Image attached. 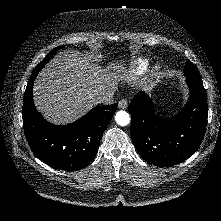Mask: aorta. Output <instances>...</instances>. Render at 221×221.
I'll list each match as a JSON object with an SVG mask.
<instances>
[{
  "instance_id": "1",
  "label": "aorta",
  "mask_w": 221,
  "mask_h": 221,
  "mask_svg": "<svg viewBox=\"0 0 221 221\" xmlns=\"http://www.w3.org/2000/svg\"><path fill=\"white\" fill-rule=\"evenodd\" d=\"M115 121L120 126H126L130 123V115L126 111H118L115 114Z\"/></svg>"
}]
</instances>
